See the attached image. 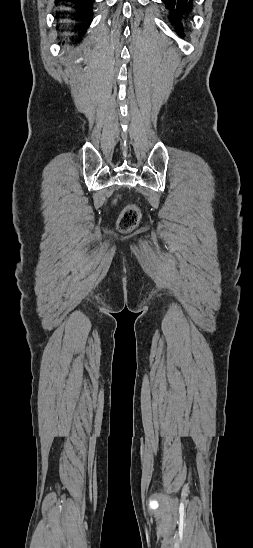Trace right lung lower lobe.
<instances>
[{
    "label": "right lung lower lobe",
    "mask_w": 253,
    "mask_h": 548,
    "mask_svg": "<svg viewBox=\"0 0 253 548\" xmlns=\"http://www.w3.org/2000/svg\"><path fill=\"white\" fill-rule=\"evenodd\" d=\"M56 1L58 2L61 0H56ZM64 1H70L73 4H75L78 8L87 9L88 13L86 17H79V19L86 20L87 25L90 24V22L92 21V4L94 0H64Z\"/></svg>",
    "instance_id": "1"
}]
</instances>
